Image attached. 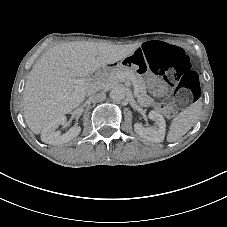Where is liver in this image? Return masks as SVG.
<instances>
[{
  "label": "liver",
  "mask_w": 227,
  "mask_h": 227,
  "mask_svg": "<svg viewBox=\"0 0 227 227\" xmlns=\"http://www.w3.org/2000/svg\"><path fill=\"white\" fill-rule=\"evenodd\" d=\"M139 46L75 41L50 47L27 76L23 91L24 119L34 134L52 120L80 106L90 75L132 54ZM98 89L104 85L96 79Z\"/></svg>",
  "instance_id": "liver-1"
}]
</instances>
